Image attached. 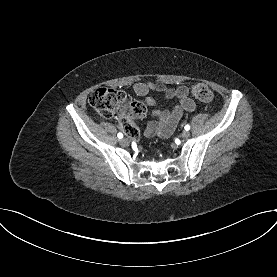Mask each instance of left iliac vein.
Returning <instances> with one entry per match:
<instances>
[{"instance_id": "left-iliac-vein-1", "label": "left iliac vein", "mask_w": 277, "mask_h": 277, "mask_svg": "<svg viewBox=\"0 0 277 277\" xmlns=\"http://www.w3.org/2000/svg\"><path fill=\"white\" fill-rule=\"evenodd\" d=\"M181 136H182V138L187 139V138H189L190 133H189V131L185 130L182 132Z\"/></svg>"}]
</instances>
